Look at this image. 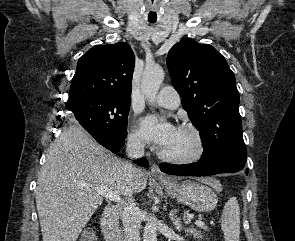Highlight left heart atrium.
Listing matches in <instances>:
<instances>
[{"instance_id": "39dd6f15", "label": "left heart atrium", "mask_w": 295, "mask_h": 241, "mask_svg": "<svg viewBox=\"0 0 295 241\" xmlns=\"http://www.w3.org/2000/svg\"><path fill=\"white\" fill-rule=\"evenodd\" d=\"M145 137L161 149L165 148L174 138L177 128L171 123L161 122L155 116H147L141 121Z\"/></svg>"}]
</instances>
